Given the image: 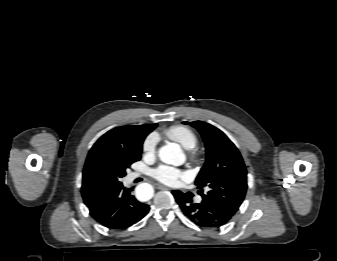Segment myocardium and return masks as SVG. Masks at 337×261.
<instances>
[{"mask_svg": "<svg viewBox=\"0 0 337 261\" xmlns=\"http://www.w3.org/2000/svg\"><path fill=\"white\" fill-rule=\"evenodd\" d=\"M188 153H189V157L192 161H194V162L200 161L201 155H200V153L197 149H195V148L190 149V150H188Z\"/></svg>", "mask_w": 337, "mask_h": 261, "instance_id": "1", "label": "myocardium"}]
</instances>
